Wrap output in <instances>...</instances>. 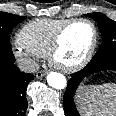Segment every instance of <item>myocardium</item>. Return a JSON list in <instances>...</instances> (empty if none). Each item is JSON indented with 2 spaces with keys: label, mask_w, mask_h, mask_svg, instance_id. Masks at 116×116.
I'll use <instances>...</instances> for the list:
<instances>
[{
  "label": "myocardium",
  "mask_w": 116,
  "mask_h": 116,
  "mask_svg": "<svg viewBox=\"0 0 116 116\" xmlns=\"http://www.w3.org/2000/svg\"><path fill=\"white\" fill-rule=\"evenodd\" d=\"M77 23H86L91 27L92 33H93L91 45L88 51L86 52L85 56L80 61L72 65H62L57 61V54L61 47L62 38L65 32L72 25ZM97 45H98V30L96 25L91 20L86 18L71 19V20H68L66 23H64L56 32L53 38L52 44L50 46V49L48 51V55H47L48 61L51 64V66H53L54 68L64 73L75 72L84 68L91 61L96 51Z\"/></svg>",
  "instance_id": "1"
}]
</instances>
